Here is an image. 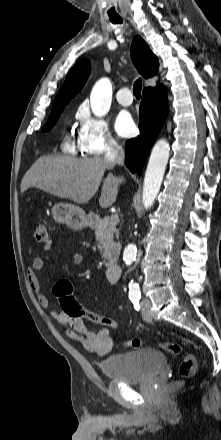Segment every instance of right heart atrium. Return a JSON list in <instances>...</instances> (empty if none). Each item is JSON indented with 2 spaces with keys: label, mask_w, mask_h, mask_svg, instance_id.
Instances as JSON below:
<instances>
[{
  "label": "right heart atrium",
  "mask_w": 221,
  "mask_h": 440,
  "mask_svg": "<svg viewBox=\"0 0 221 440\" xmlns=\"http://www.w3.org/2000/svg\"><path fill=\"white\" fill-rule=\"evenodd\" d=\"M76 117L80 124L78 141L84 154L100 156L119 148L105 119L92 115L84 106L79 108Z\"/></svg>",
  "instance_id": "1"
}]
</instances>
